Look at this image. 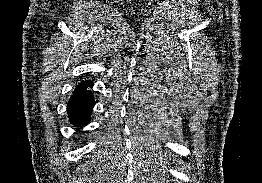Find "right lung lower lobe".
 Wrapping results in <instances>:
<instances>
[{"label": "right lung lower lobe", "instance_id": "right-lung-lower-lobe-1", "mask_svg": "<svg viewBox=\"0 0 262 183\" xmlns=\"http://www.w3.org/2000/svg\"><path fill=\"white\" fill-rule=\"evenodd\" d=\"M93 87L91 81H82L75 88L74 94L67 104V112L72 124L84 126L89 123L91 111L95 105L92 92L87 88Z\"/></svg>", "mask_w": 262, "mask_h": 183}]
</instances>
